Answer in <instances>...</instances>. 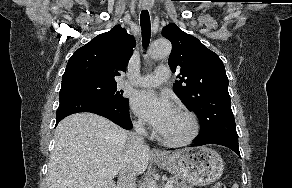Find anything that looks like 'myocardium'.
<instances>
[{"mask_svg": "<svg viewBox=\"0 0 292 188\" xmlns=\"http://www.w3.org/2000/svg\"><path fill=\"white\" fill-rule=\"evenodd\" d=\"M176 111L185 115L189 119L191 124V130L187 135L181 138H168L163 135L159 136V139L162 143L172 147H180L191 143L200 132V123L195 113L185 107H177Z\"/></svg>", "mask_w": 292, "mask_h": 188, "instance_id": "f54148a6", "label": "myocardium"}]
</instances>
